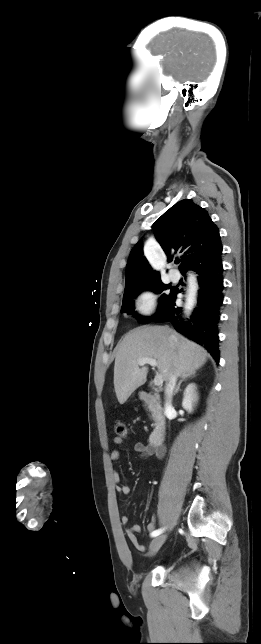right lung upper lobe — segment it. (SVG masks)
Here are the masks:
<instances>
[{"label":"right lung upper lobe","instance_id":"1","mask_svg":"<svg viewBox=\"0 0 261 644\" xmlns=\"http://www.w3.org/2000/svg\"><path fill=\"white\" fill-rule=\"evenodd\" d=\"M152 227L168 260L172 261L173 255L181 254L180 271L189 266L210 263L221 256L219 229L208 212L190 199L176 203ZM159 280L160 273L152 270L139 241L128 258L125 289Z\"/></svg>","mask_w":261,"mask_h":644}]
</instances>
